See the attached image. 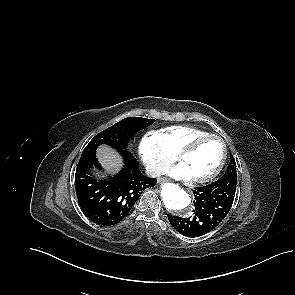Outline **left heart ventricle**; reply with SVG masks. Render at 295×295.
Segmentation results:
<instances>
[{
  "label": "left heart ventricle",
  "instance_id": "b2bd125f",
  "mask_svg": "<svg viewBox=\"0 0 295 295\" xmlns=\"http://www.w3.org/2000/svg\"><path fill=\"white\" fill-rule=\"evenodd\" d=\"M222 154L221 143L216 139H208L186 155L181 163L185 166L191 178L203 177L212 172L218 165Z\"/></svg>",
  "mask_w": 295,
  "mask_h": 295
}]
</instances>
